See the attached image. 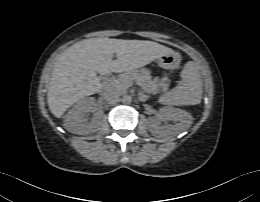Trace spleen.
<instances>
[{"instance_id": "obj_1", "label": "spleen", "mask_w": 260, "mask_h": 202, "mask_svg": "<svg viewBox=\"0 0 260 202\" xmlns=\"http://www.w3.org/2000/svg\"><path fill=\"white\" fill-rule=\"evenodd\" d=\"M181 83L159 98L165 105H196L202 99V81L196 64L186 63L181 72Z\"/></svg>"}]
</instances>
